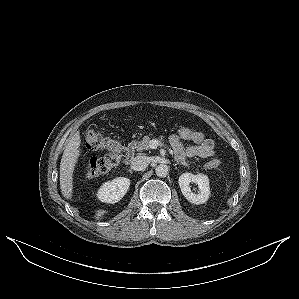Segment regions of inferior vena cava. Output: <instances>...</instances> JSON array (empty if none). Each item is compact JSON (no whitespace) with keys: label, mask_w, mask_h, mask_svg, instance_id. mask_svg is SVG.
Returning <instances> with one entry per match:
<instances>
[{"label":"inferior vena cava","mask_w":299,"mask_h":299,"mask_svg":"<svg viewBox=\"0 0 299 299\" xmlns=\"http://www.w3.org/2000/svg\"><path fill=\"white\" fill-rule=\"evenodd\" d=\"M149 158L145 155L136 156L132 161V167L135 170H144L149 165Z\"/></svg>","instance_id":"1"}]
</instances>
